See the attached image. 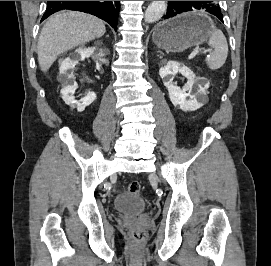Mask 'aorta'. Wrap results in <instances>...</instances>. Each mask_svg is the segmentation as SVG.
Returning a JSON list of instances; mask_svg holds the SVG:
<instances>
[{
  "label": "aorta",
  "mask_w": 271,
  "mask_h": 266,
  "mask_svg": "<svg viewBox=\"0 0 271 266\" xmlns=\"http://www.w3.org/2000/svg\"><path fill=\"white\" fill-rule=\"evenodd\" d=\"M166 9V1H152L145 11V22L153 23L158 21L164 15Z\"/></svg>",
  "instance_id": "aorta-1"
}]
</instances>
